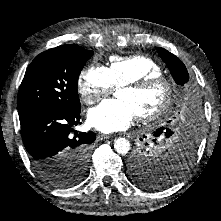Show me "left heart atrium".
Here are the masks:
<instances>
[{
    "label": "left heart atrium",
    "mask_w": 221,
    "mask_h": 221,
    "mask_svg": "<svg viewBox=\"0 0 221 221\" xmlns=\"http://www.w3.org/2000/svg\"><path fill=\"white\" fill-rule=\"evenodd\" d=\"M129 103L121 99H107L88 112L89 124L104 133L128 128L135 118Z\"/></svg>",
    "instance_id": "left-heart-atrium-1"
}]
</instances>
